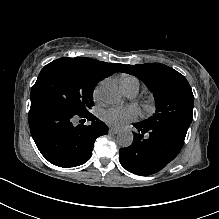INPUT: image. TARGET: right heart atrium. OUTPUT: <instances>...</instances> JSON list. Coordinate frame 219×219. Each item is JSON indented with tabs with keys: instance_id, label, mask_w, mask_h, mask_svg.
<instances>
[{
	"instance_id": "d8ad5b80",
	"label": "right heart atrium",
	"mask_w": 219,
	"mask_h": 219,
	"mask_svg": "<svg viewBox=\"0 0 219 219\" xmlns=\"http://www.w3.org/2000/svg\"><path fill=\"white\" fill-rule=\"evenodd\" d=\"M105 83V80L101 81L92 91V97L95 101H98L101 99V92H102V87Z\"/></svg>"
}]
</instances>
